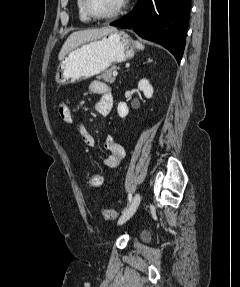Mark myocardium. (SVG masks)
<instances>
[{"label":"myocardium","mask_w":240,"mask_h":287,"mask_svg":"<svg viewBox=\"0 0 240 287\" xmlns=\"http://www.w3.org/2000/svg\"><path fill=\"white\" fill-rule=\"evenodd\" d=\"M128 2H129V0H121L119 5L117 6V8L114 9L111 13L106 14V15L96 14L90 6V0H83V8L85 10V13L91 19L96 20V21H106V20L113 19V18L117 17L119 14H121L125 10V8L127 7Z\"/></svg>","instance_id":"myocardium-1"}]
</instances>
